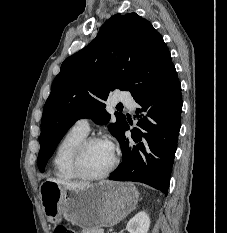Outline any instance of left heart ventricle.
<instances>
[{
    "mask_svg": "<svg viewBox=\"0 0 227 233\" xmlns=\"http://www.w3.org/2000/svg\"><path fill=\"white\" fill-rule=\"evenodd\" d=\"M113 159V150L106 142L91 144L84 155V169L91 174L104 172Z\"/></svg>",
    "mask_w": 227,
    "mask_h": 233,
    "instance_id": "1",
    "label": "left heart ventricle"
}]
</instances>
